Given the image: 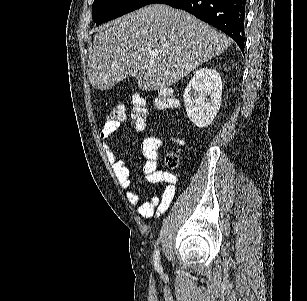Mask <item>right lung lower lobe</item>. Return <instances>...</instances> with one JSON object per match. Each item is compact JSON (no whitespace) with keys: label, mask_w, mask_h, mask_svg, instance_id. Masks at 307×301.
<instances>
[{"label":"right lung lower lobe","mask_w":307,"mask_h":301,"mask_svg":"<svg viewBox=\"0 0 307 301\" xmlns=\"http://www.w3.org/2000/svg\"><path fill=\"white\" fill-rule=\"evenodd\" d=\"M188 11L229 35L244 53L246 0H150Z\"/></svg>","instance_id":"98d812e1"}]
</instances>
